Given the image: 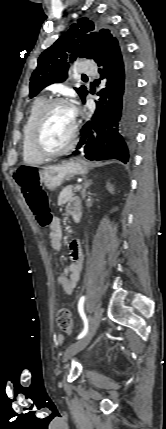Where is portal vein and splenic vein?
<instances>
[{
  "instance_id": "portal-vein-and-splenic-vein-1",
  "label": "portal vein and splenic vein",
  "mask_w": 166,
  "mask_h": 429,
  "mask_svg": "<svg viewBox=\"0 0 166 429\" xmlns=\"http://www.w3.org/2000/svg\"><path fill=\"white\" fill-rule=\"evenodd\" d=\"M81 189V185H77L76 187H75V191H78V190H80Z\"/></svg>"
}]
</instances>
